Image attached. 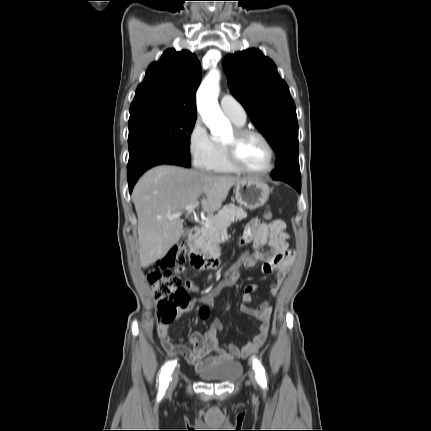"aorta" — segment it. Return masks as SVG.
<instances>
[{"instance_id":"aorta-1","label":"aorta","mask_w":431,"mask_h":431,"mask_svg":"<svg viewBox=\"0 0 431 431\" xmlns=\"http://www.w3.org/2000/svg\"><path fill=\"white\" fill-rule=\"evenodd\" d=\"M219 72L215 69L202 81L197 91V108L213 137H220L231 130L227 118L218 105Z\"/></svg>"}]
</instances>
